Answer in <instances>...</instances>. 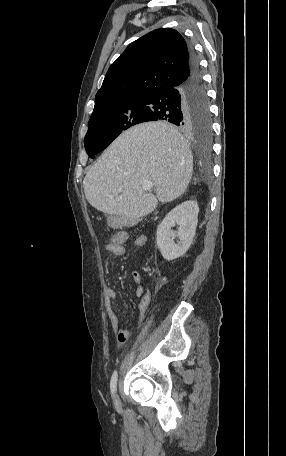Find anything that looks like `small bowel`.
I'll return each mask as SVG.
<instances>
[{"mask_svg": "<svg viewBox=\"0 0 286 456\" xmlns=\"http://www.w3.org/2000/svg\"><path fill=\"white\" fill-rule=\"evenodd\" d=\"M128 233L125 231H117L112 239L105 245V251L113 256L122 257L125 255L124 245L128 241ZM147 244V237L145 235H139L135 240L136 248H144ZM131 279L135 285L134 293L140 298L138 304V314L135 319L134 325L127 329L119 330V318L112 307V302L116 299V292L112 288H106V315L110 323L111 328L116 334V340L119 344H123L127 341L132 329L138 323H140L146 316L147 310L151 303L152 295L148 288L143 285L142 276L139 272H132Z\"/></svg>", "mask_w": 286, "mask_h": 456, "instance_id": "obj_1", "label": "small bowel"}]
</instances>
